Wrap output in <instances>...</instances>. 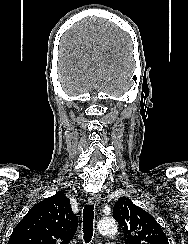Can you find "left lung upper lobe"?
Returning <instances> with one entry per match:
<instances>
[{
    "label": "left lung upper lobe",
    "instance_id": "1",
    "mask_svg": "<svg viewBox=\"0 0 188 244\" xmlns=\"http://www.w3.org/2000/svg\"><path fill=\"white\" fill-rule=\"evenodd\" d=\"M113 217L123 230L125 244H169L154 217L127 197L115 203Z\"/></svg>",
    "mask_w": 188,
    "mask_h": 244
}]
</instances>
